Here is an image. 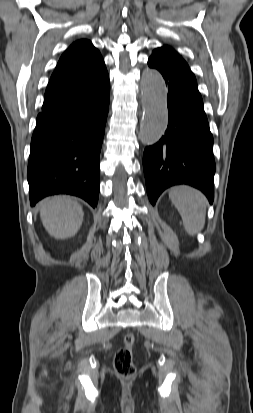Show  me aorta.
Instances as JSON below:
<instances>
[{"mask_svg":"<svg viewBox=\"0 0 253 413\" xmlns=\"http://www.w3.org/2000/svg\"><path fill=\"white\" fill-rule=\"evenodd\" d=\"M143 116L140 140L147 145L158 142L168 123L167 89L160 73L146 70L141 79Z\"/></svg>","mask_w":253,"mask_h":413,"instance_id":"1","label":"aorta"}]
</instances>
